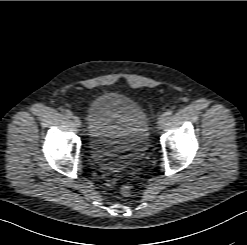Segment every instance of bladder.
<instances>
[{
	"label": "bladder",
	"mask_w": 247,
	"mask_h": 245,
	"mask_svg": "<svg viewBox=\"0 0 247 245\" xmlns=\"http://www.w3.org/2000/svg\"><path fill=\"white\" fill-rule=\"evenodd\" d=\"M88 141L95 162L111 171L137 165L149 145L148 120L129 97L106 92L97 96L88 111Z\"/></svg>",
	"instance_id": "1"
}]
</instances>
